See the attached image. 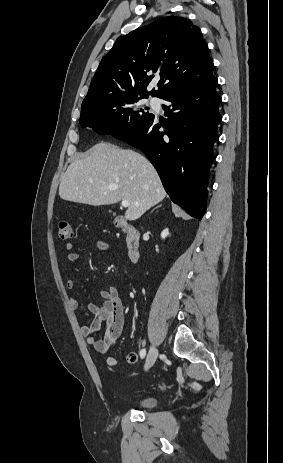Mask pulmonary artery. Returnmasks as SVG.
<instances>
[{
  "label": "pulmonary artery",
  "instance_id": "1",
  "mask_svg": "<svg viewBox=\"0 0 283 463\" xmlns=\"http://www.w3.org/2000/svg\"><path fill=\"white\" fill-rule=\"evenodd\" d=\"M152 103L156 104V103H157V101H156V100H153V101H152Z\"/></svg>",
  "mask_w": 283,
  "mask_h": 463
}]
</instances>
